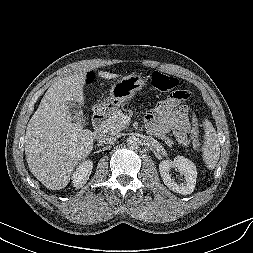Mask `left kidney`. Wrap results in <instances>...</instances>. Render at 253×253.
I'll use <instances>...</instances> for the list:
<instances>
[{
	"mask_svg": "<svg viewBox=\"0 0 253 253\" xmlns=\"http://www.w3.org/2000/svg\"><path fill=\"white\" fill-rule=\"evenodd\" d=\"M173 167H176L179 173L184 176V181L180 184L171 178L170 169ZM159 171L164 184L173 192L188 195L194 191L197 170L194 163L189 159L177 156L173 161L163 160L159 164Z\"/></svg>",
	"mask_w": 253,
	"mask_h": 253,
	"instance_id": "obj_1",
	"label": "left kidney"
}]
</instances>
